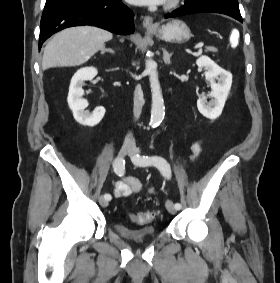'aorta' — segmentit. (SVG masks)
Here are the masks:
<instances>
[{"label": "aorta", "instance_id": "obj_1", "mask_svg": "<svg viewBox=\"0 0 280 283\" xmlns=\"http://www.w3.org/2000/svg\"><path fill=\"white\" fill-rule=\"evenodd\" d=\"M146 73L149 76L151 94H152V108L150 125L153 127L159 125L165 116L164 100L158 79L157 65L152 59L146 60Z\"/></svg>", "mask_w": 280, "mask_h": 283}]
</instances>
